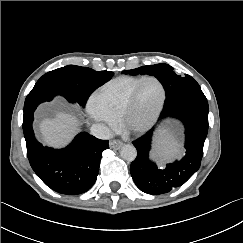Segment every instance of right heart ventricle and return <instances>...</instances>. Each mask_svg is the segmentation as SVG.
<instances>
[{
    "label": "right heart ventricle",
    "instance_id": "e07e8e85",
    "mask_svg": "<svg viewBox=\"0 0 243 243\" xmlns=\"http://www.w3.org/2000/svg\"><path fill=\"white\" fill-rule=\"evenodd\" d=\"M144 76H120L102 85L93 95L96 104L116 120L134 88Z\"/></svg>",
    "mask_w": 243,
    "mask_h": 243
}]
</instances>
